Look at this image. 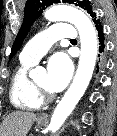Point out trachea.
I'll list each match as a JSON object with an SVG mask.
<instances>
[{"mask_svg": "<svg viewBox=\"0 0 117 136\" xmlns=\"http://www.w3.org/2000/svg\"><path fill=\"white\" fill-rule=\"evenodd\" d=\"M70 41H75V39H71Z\"/></svg>", "mask_w": 117, "mask_h": 136, "instance_id": "obj_1", "label": "trachea"}]
</instances>
